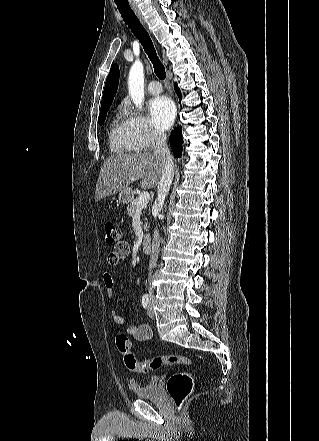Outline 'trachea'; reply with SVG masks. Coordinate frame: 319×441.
Segmentation results:
<instances>
[{"label": "trachea", "mask_w": 319, "mask_h": 441, "mask_svg": "<svg viewBox=\"0 0 319 441\" xmlns=\"http://www.w3.org/2000/svg\"><path fill=\"white\" fill-rule=\"evenodd\" d=\"M117 8L121 14V17L123 18L124 22L128 25V27L131 29L133 34L137 37L141 45L143 46L144 51L148 55L149 59L151 60L154 68V72L156 76L163 80L166 78V72L164 65L161 63L159 58L157 57L154 45L152 43V40L143 27V25L140 23L138 17L134 13V11L131 9L130 6H124V5H117Z\"/></svg>", "instance_id": "obj_1"}]
</instances>
